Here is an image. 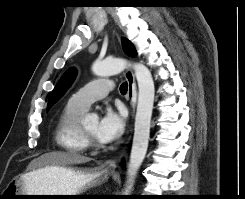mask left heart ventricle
<instances>
[{
	"label": "left heart ventricle",
	"instance_id": "1",
	"mask_svg": "<svg viewBox=\"0 0 245 199\" xmlns=\"http://www.w3.org/2000/svg\"><path fill=\"white\" fill-rule=\"evenodd\" d=\"M97 126H98L97 119L89 120L83 124V127L87 131V133L90 134L92 137H94L96 140H98L96 136Z\"/></svg>",
	"mask_w": 245,
	"mask_h": 199
}]
</instances>
